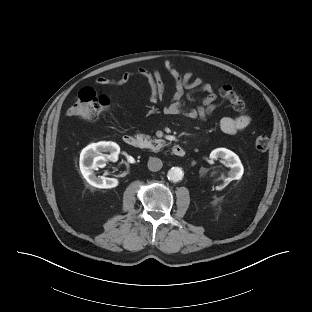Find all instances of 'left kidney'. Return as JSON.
Returning a JSON list of instances; mask_svg holds the SVG:
<instances>
[{"label": "left kidney", "instance_id": "left-kidney-1", "mask_svg": "<svg viewBox=\"0 0 312 312\" xmlns=\"http://www.w3.org/2000/svg\"><path fill=\"white\" fill-rule=\"evenodd\" d=\"M210 158L212 160L221 158L224 164L230 168V171L226 175H221L224 185H227L232 180L241 179L244 168L237 154L226 148H217L210 153Z\"/></svg>", "mask_w": 312, "mask_h": 312}]
</instances>
